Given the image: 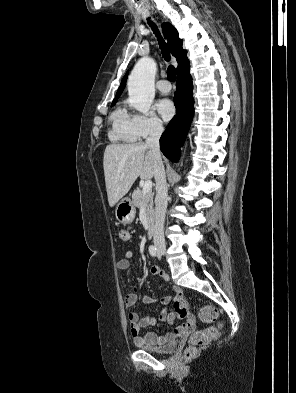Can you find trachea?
<instances>
[{
  "mask_svg": "<svg viewBox=\"0 0 296 393\" xmlns=\"http://www.w3.org/2000/svg\"><path fill=\"white\" fill-rule=\"evenodd\" d=\"M149 24H150L154 34L156 35V37L158 39V42H159V45H160V48H161V52H162V55H163L164 59L166 61H169L170 60V54H169L168 48H167L164 40L162 39V37H161V35L159 33V30L157 29V26L153 22H151V21L149 22ZM167 77L172 82H174L176 80V69L174 68V66L170 65L168 67V69H167Z\"/></svg>",
  "mask_w": 296,
  "mask_h": 393,
  "instance_id": "1",
  "label": "trachea"
}]
</instances>
